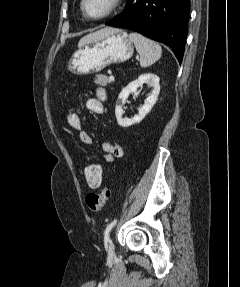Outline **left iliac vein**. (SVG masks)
<instances>
[{"instance_id": "4c4485c4", "label": "left iliac vein", "mask_w": 240, "mask_h": 287, "mask_svg": "<svg viewBox=\"0 0 240 287\" xmlns=\"http://www.w3.org/2000/svg\"><path fill=\"white\" fill-rule=\"evenodd\" d=\"M109 251L112 252V244L109 245Z\"/></svg>"}]
</instances>
